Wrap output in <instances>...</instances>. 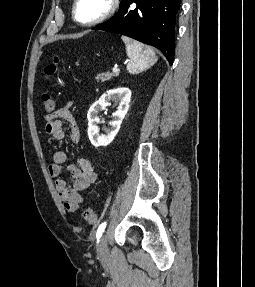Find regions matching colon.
I'll return each mask as SVG.
<instances>
[{"label": "colon", "instance_id": "5ec220e1", "mask_svg": "<svg viewBox=\"0 0 255 287\" xmlns=\"http://www.w3.org/2000/svg\"><path fill=\"white\" fill-rule=\"evenodd\" d=\"M59 62H60L59 57L53 56L50 63L45 67L44 74L47 80H51L57 75L59 71ZM42 101L44 108L47 112L51 113L55 110L56 107L55 101L50 94L48 93L43 94ZM82 216L84 220H86L90 224H96L98 222V216L90 207H85L83 209Z\"/></svg>", "mask_w": 255, "mask_h": 287}]
</instances>
